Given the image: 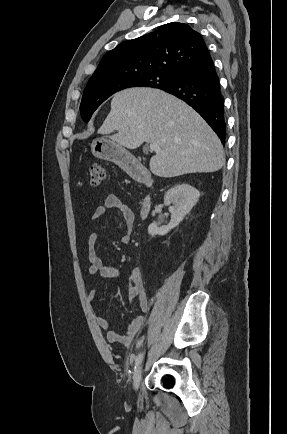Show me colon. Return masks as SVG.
<instances>
[{
	"mask_svg": "<svg viewBox=\"0 0 287 434\" xmlns=\"http://www.w3.org/2000/svg\"><path fill=\"white\" fill-rule=\"evenodd\" d=\"M106 168L99 164L90 167V182L92 185H99L106 178Z\"/></svg>",
	"mask_w": 287,
	"mask_h": 434,
	"instance_id": "5ec220e1",
	"label": "colon"
}]
</instances>
